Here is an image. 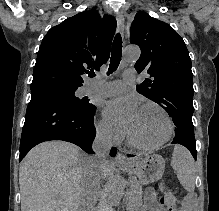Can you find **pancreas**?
Masks as SVG:
<instances>
[{
	"mask_svg": "<svg viewBox=\"0 0 219 211\" xmlns=\"http://www.w3.org/2000/svg\"><path fill=\"white\" fill-rule=\"evenodd\" d=\"M133 192H130L129 195H127V204L128 207L126 208V211H139L138 207H141V197L143 196L142 188L141 187H132Z\"/></svg>",
	"mask_w": 219,
	"mask_h": 211,
	"instance_id": "cf45deb5",
	"label": "pancreas"
}]
</instances>
